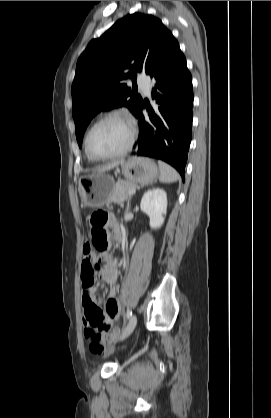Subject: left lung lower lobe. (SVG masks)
Masks as SVG:
<instances>
[{
    "label": "left lung lower lobe",
    "mask_w": 271,
    "mask_h": 418,
    "mask_svg": "<svg viewBox=\"0 0 271 418\" xmlns=\"http://www.w3.org/2000/svg\"><path fill=\"white\" fill-rule=\"evenodd\" d=\"M156 82L152 98L157 109L149 110L150 121H146L142 102L136 118L141 128L134 155L161 159L178 170L184 180L187 152L192 138V77L177 40L172 37L162 58L150 73Z\"/></svg>",
    "instance_id": "obj_1"
}]
</instances>
